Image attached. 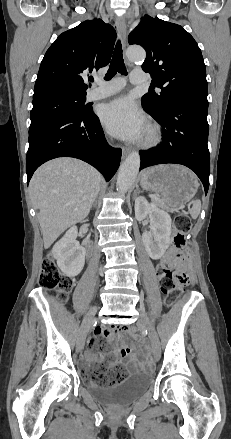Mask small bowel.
Returning <instances> with one entry per match:
<instances>
[{
	"mask_svg": "<svg viewBox=\"0 0 231 439\" xmlns=\"http://www.w3.org/2000/svg\"><path fill=\"white\" fill-rule=\"evenodd\" d=\"M174 257V252L169 251L167 254L168 259H172ZM119 335V332H117L115 329H106L104 327H98L95 331V335L93 336V339H100L101 337H105L111 342L114 343L113 351L108 356H100L97 357L92 352V344L91 348L88 349L86 353L85 360L89 364V366H92V369L96 368V365L101 361H106L108 363V367H112L114 365H125L127 366L132 372L137 371V366L135 364V355L133 354L132 349L129 346L118 344L116 342V339ZM91 340V341H92Z\"/></svg>",
	"mask_w": 231,
	"mask_h": 439,
	"instance_id": "obj_1",
	"label": "small bowel"
}]
</instances>
